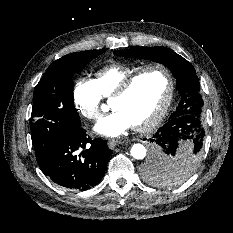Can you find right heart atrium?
Listing matches in <instances>:
<instances>
[{"label":"right heart atrium","instance_id":"obj_1","mask_svg":"<svg viewBox=\"0 0 233 233\" xmlns=\"http://www.w3.org/2000/svg\"><path fill=\"white\" fill-rule=\"evenodd\" d=\"M102 99L93 79L80 77L72 90V101L76 111L85 119L97 120L101 115Z\"/></svg>","mask_w":233,"mask_h":233}]
</instances>
